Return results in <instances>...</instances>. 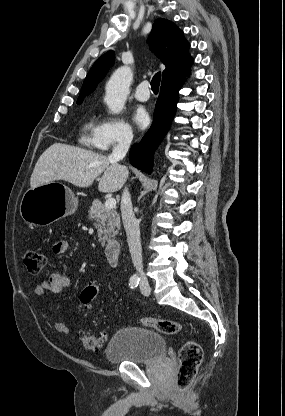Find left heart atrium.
Returning a JSON list of instances; mask_svg holds the SVG:
<instances>
[{"label":"left heart atrium","mask_w":285,"mask_h":416,"mask_svg":"<svg viewBox=\"0 0 285 416\" xmlns=\"http://www.w3.org/2000/svg\"><path fill=\"white\" fill-rule=\"evenodd\" d=\"M133 120L139 128H144L148 123L149 117L143 108L138 107L133 113Z\"/></svg>","instance_id":"39dd6f15"}]
</instances>
